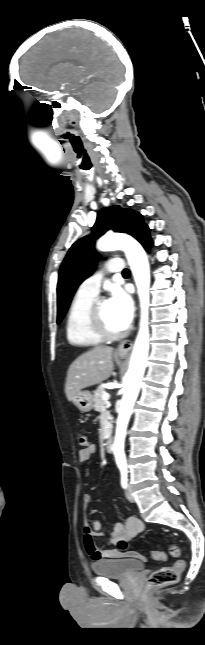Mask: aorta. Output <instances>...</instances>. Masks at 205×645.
Instances as JSON below:
<instances>
[{"instance_id":"aorta-1","label":"aorta","mask_w":205,"mask_h":645,"mask_svg":"<svg viewBox=\"0 0 205 645\" xmlns=\"http://www.w3.org/2000/svg\"><path fill=\"white\" fill-rule=\"evenodd\" d=\"M97 248L101 251L120 249L125 252L137 286L141 307L140 328L127 372V384L121 401L114 439L116 462L117 464H125L124 441L126 429L140 390L149 352L148 308L150 268L144 249L136 240L129 236L121 234L106 235L98 241Z\"/></svg>"}]
</instances>
